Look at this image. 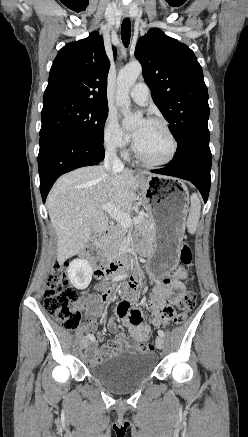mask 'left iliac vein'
<instances>
[{
    "label": "left iliac vein",
    "mask_w": 248,
    "mask_h": 437,
    "mask_svg": "<svg viewBox=\"0 0 248 437\" xmlns=\"http://www.w3.org/2000/svg\"><path fill=\"white\" fill-rule=\"evenodd\" d=\"M155 343L158 349H162L164 345V339L161 336H158L156 337Z\"/></svg>",
    "instance_id": "4c4485c4"
}]
</instances>
